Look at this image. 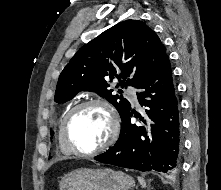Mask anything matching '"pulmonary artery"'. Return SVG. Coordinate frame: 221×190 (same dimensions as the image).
Returning a JSON list of instances; mask_svg holds the SVG:
<instances>
[{
	"label": "pulmonary artery",
	"mask_w": 221,
	"mask_h": 190,
	"mask_svg": "<svg viewBox=\"0 0 221 190\" xmlns=\"http://www.w3.org/2000/svg\"><path fill=\"white\" fill-rule=\"evenodd\" d=\"M128 94H129V97L131 98V100H132L134 103H137L138 100H137V95H136V93L133 92V91H129Z\"/></svg>",
	"instance_id": "obj_1"
}]
</instances>
